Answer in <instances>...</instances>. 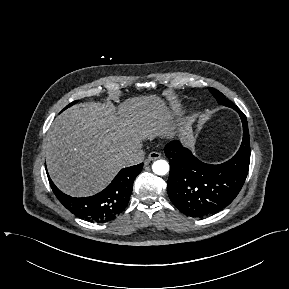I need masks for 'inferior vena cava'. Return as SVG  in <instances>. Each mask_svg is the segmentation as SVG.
<instances>
[{"instance_id": "602c4592", "label": "inferior vena cava", "mask_w": 289, "mask_h": 289, "mask_svg": "<svg viewBox=\"0 0 289 289\" xmlns=\"http://www.w3.org/2000/svg\"><path fill=\"white\" fill-rule=\"evenodd\" d=\"M145 152L138 150L132 152L124 157L127 166H132L141 163L144 160Z\"/></svg>"}]
</instances>
